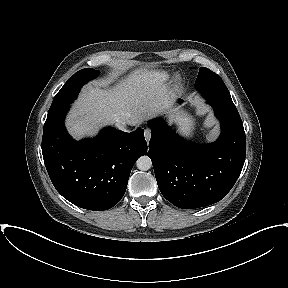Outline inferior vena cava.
<instances>
[{"instance_id": "602c4592", "label": "inferior vena cava", "mask_w": 288, "mask_h": 288, "mask_svg": "<svg viewBox=\"0 0 288 288\" xmlns=\"http://www.w3.org/2000/svg\"><path fill=\"white\" fill-rule=\"evenodd\" d=\"M116 126H117V128H118L119 130L127 131L124 124L116 123Z\"/></svg>"}]
</instances>
